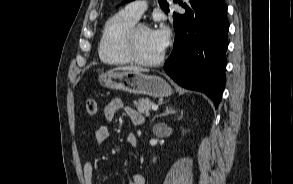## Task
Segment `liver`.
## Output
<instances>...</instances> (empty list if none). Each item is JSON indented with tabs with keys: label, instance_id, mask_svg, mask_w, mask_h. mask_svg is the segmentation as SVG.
<instances>
[{
	"label": "liver",
	"instance_id": "obj_1",
	"mask_svg": "<svg viewBox=\"0 0 293 184\" xmlns=\"http://www.w3.org/2000/svg\"><path fill=\"white\" fill-rule=\"evenodd\" d=\"M114 70H123V71H130V72H147L148 70H145L141 67L137 66H125V67H117Z\"/></svg>",
	"mask_w": 293,
	"mask_h": 184
}]
</instances>
